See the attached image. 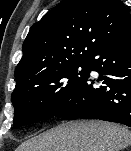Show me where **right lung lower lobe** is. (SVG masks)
<instances>
[{"mask_svg":"<svg viewBox=\"0 0 131 151\" xmlns=\"http://www.w3.org/2000/svg\"><path fill=\"white\" fill-rule=\"evenodd\" d=\"M100 78L87 79L55 117L100 119L131 127V34L100 47L89 61V72ZM100 83L99 87L94 84Z\"/></svg>","mask_w":131,"mask_h":151,"instance_id":"obj_1","label":"right lung lower lobe"}]
</instances>
